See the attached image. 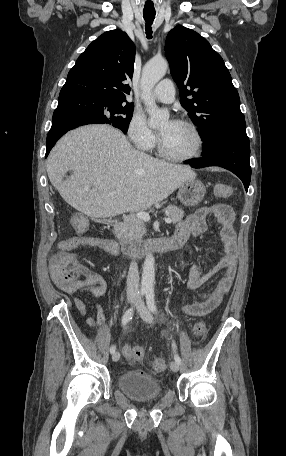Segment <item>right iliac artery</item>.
<instances>
[{
  "label": "right iliac artery",
  "instance_id": "right-iliac-artery-1",
  "mask_svg": "<svg viewBox=\"0 0 286 456\" xmlns=\"http://www.w3.org/2000/svg\"><path fill=\"white\" fill-rule=\"evenodd\" d=\"M145 294V291H141L140 292V296L143 297ZM133 313H134V307H130L126 312L125 314L123 315V318H122V326H125L133 317ZM116 350V347L115 345H112L110 347V353H114Z\"/></svg>",
  "mask_w": 286,
  "mask_h": 456
}]
</instances>
